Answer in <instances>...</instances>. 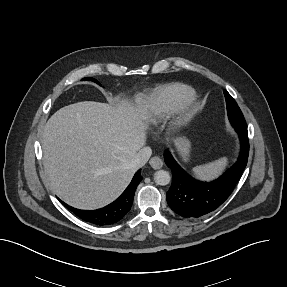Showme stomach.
<instances>
[{"instance_id": "stomach-1", "label": "stomach", "mask_w": 287, "mask_h": 287, "mask_svg": "<svg viewBox=\"0 0 287 287\" xmlns=\"http://www.w3.org/2000/svg\"><path fill=\"white\" fill-rule=\"evenodd\" d=\"M175 146L184 161H187L190 152V142L184 137L175 140Z\"/></svg>"}]
</instances>
